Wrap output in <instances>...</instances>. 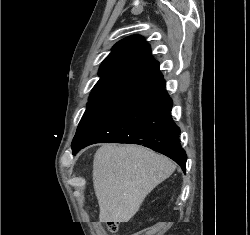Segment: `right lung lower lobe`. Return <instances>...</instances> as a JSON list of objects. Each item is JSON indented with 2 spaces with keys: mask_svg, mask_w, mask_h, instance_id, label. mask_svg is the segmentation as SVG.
I'll return each mask as SVG.
<instances>
[{
  "mask_svg": "<svg viewBox=\"0 0 250 235\" xmlns=\"http://www.w3.org/2000/svg\"><path fill=\"white\" fill-rule=\"evenodd\" d=\"M171 107L161 75L72 145L73 154L94 143H133L166 155L185 171L187 155L181 148L180 130L171 118Z\"/></svg>",
  "mask_w": 250,
  "mask_h": 235,
  "instance_id": "1",
  "label": "right lung lower lobe"
}]
</instances>
